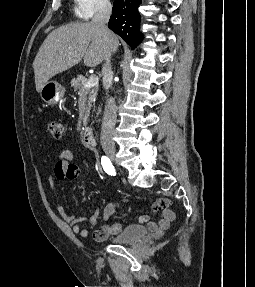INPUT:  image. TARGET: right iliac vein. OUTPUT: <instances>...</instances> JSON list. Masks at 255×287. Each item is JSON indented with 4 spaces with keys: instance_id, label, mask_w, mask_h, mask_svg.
I'll use <instances>...</instances> for the list:
<instances>
[{
    "instance_id": "right-iliac-vein-1",
    "label": "right iliac vein",
    "mask_w": 255,
    "mask_h": 287,
    "mask_svg": "<svg viewBox=\"0 0 255 287\" xmlns=\"http://www.w3.org/2000/svg\"><path fill=\"white\" fill-rule=\"evenodd\" d=\"M105 154L111 159V160H115L116 159V153H115V148L113 147H106L104 149Z\"/></svg>"
}]
</instances>
